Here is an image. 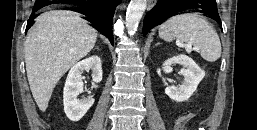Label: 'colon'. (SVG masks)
Listing matches in <instances>:
<instances>
[{"mask_svg":"<svg viewBox=\"0 0 257 130\" xmlns=\"http://www.w3.org/2000/svg\"><path fill=\"white\" fill-rule=\"evenodd\" d=\"M194 117L193 113H186L178 117L175 121L173 130H184L186 124Z\"/></svg>","mask_w":257,"mask_h":130,"instance_id":"obj_1","label":"colon"}]
</instances>
